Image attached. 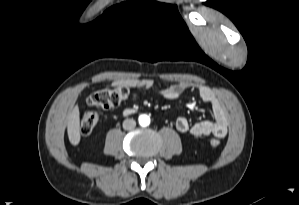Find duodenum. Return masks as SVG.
I'll return each mask as SVG.
<instances>
[{
    "instance_id": "410a0bca",
    "label": "duodenum",
    "mask_w": 299,
    "mask_h": 205,
    "mask_svg": "<svg viewBox=\"0 0 299 205\" xmlns=\"http://www.w3.org/2000/svg\"><path fill=\"white\" fill-rule=\"evenodd\" d=\"M133 112H134V109L128 108V109H125L123 113H124V115H129Z\"/></svg>"
}]
</instances>
